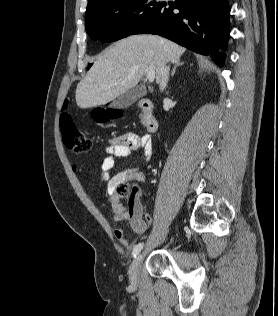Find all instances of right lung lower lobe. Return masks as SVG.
<instances>
[{"label":"right lung lower lobe","instance_id":"obj_1","mask_svg":"<svg viewBox=\"0 0 278 316\" xmlns=\"http://www.w3.org/2000/svg\"><path fill=\"white\" fill-rule=\"evenodd\" d=\"M229 13L227 0L161 2L154 15L132 34H157L194 52L213 53V59L221 66L225 54H217V49L227 44Z\"/></svg>","mask_w":278,"mask_h":316}]
</instances>
